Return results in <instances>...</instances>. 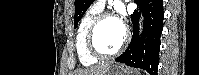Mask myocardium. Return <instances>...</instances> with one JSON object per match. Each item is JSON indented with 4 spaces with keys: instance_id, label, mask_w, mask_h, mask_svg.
<instances>
[{
    "instance_id": "f54148a6",
    "label": "myocardium",
    "mask_w": 199,
    "mask_h": 75,
    "mask_svg": "<svg viewBox=\"0 0 199 75\" xmlns=\"http://www.w3.org/2000/svg\"><path fill=\"white\" fill-rule=\"evenodd\" d=\"M106 19H117V17L110 12H101L99 15H97L92 23L90 24L87 32H86V46L88 51L91 55L98 59H107L114 57L118 55L120 52L123 51V49L126 47L128 41H129V32L124 29V38L122 43L113 51L111 52H104L100 50L96 44L95 37L97 30L101 23L105 21Z\"/></svg>"
}]
</instances>
